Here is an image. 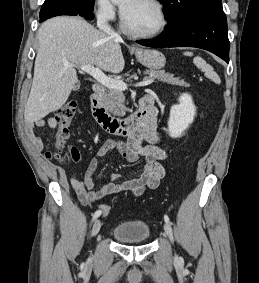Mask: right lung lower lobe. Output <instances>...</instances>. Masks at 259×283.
<instances>
[{"mask_svg": "<svg viewBox=\"0 0 259 283\" xmlns=\"http://www.w3.org/2000/svg\"><path fill=\"white\" fill-rule=\"evenodd\" d=\"M95 0H45L40 11V22L59 15H80L86 19L94 18Z\"/></svg>", "mask_w": 259, "mask_h": 283, "instance_id": "98d812e1", "label": "right lung lower lobe"}]
</instances>
